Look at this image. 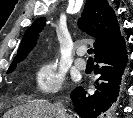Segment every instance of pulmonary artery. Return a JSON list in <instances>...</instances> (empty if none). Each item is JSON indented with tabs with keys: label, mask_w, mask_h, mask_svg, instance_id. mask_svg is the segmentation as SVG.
<instances>
[{
	"label": "pulmonary artery",
	"mask_w": 133,
	"mask_h": 118,
	"mask_svg": "<svg viewBox=\"0 0 133 118\" xmlns=\"http://www.w3.org/2000/svg\"><path fill=\"white\" fill-rule=\"evenodd\" d=\"M85 49L84 48H80L79 50H78V54L80 55V56H82L84 53H85ZM75 65H76V67L78 68V69H80V70H84L85 68H86V66H87V63H86V61L83 59V58H77L76 60H75Z\"/></svg>",
	"instance_id": "1"
}]
</instances>
